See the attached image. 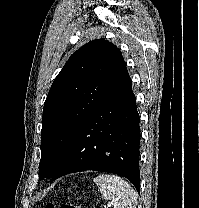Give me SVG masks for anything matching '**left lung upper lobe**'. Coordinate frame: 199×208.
<instances>
[{"label":"left lung upper lobe","mask_w":199,"mask_h":208,"mask_svg":"<svg viewBox=\"0 0 199 208\" xmlns=\"http://www.w3.org/2000/svg\"><path fill=\"white\" fill-rule=\"evenodd\" d=\"M128 76L120 50L99 39L79 48L55 78L43 108L39 179H50L71 139Z\"/></svg>","instance_id":"5c2ea615"}]
</instances>
